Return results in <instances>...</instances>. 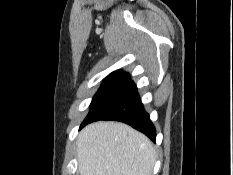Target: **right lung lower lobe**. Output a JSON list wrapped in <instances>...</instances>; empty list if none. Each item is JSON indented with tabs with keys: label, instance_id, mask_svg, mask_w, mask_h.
Returning <instances> with one entry per match:
<instances>
[{
	"label": "right lung lower lobe",
	"instance_id": "1",
	"mask_svg": "<svg viewBox=\"0 0 233 175\" xmlns=\"http://www.w3.org/2000/svg\"><path fill=\"white\" fill-rule=\"evenodd\" d=\"M98 120H115L127 123L155 142V127L149 118V114L144 110L135 84H132L94 117L85 120L81 128L88 123Z\"/></svg>",
	"mask_w": 233,
	"mask_h": 175
}]
</instances>
